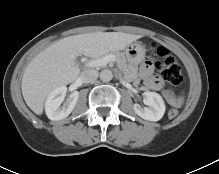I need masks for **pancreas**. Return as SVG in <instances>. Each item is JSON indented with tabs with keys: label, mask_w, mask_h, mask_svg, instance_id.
<instances>
[{
	"label": "pancreas",
	"mask_w": 219,
	"mask_h": 174,
	"mask_svg": "<svg viewBox=\"0 0 219 174\" xmlns=\"http://www.w3.org/2000/svg\"><path fill=\"white\" fill-rule=\"evenodd\" d=\"M108 55H113L115 57L119 69L124 74V79H126L129 82L133 81L134 84L139 83L140 80L138 78L137 69L127 63V59L123 54L119 52H111V53H106L105 55L99 56L96 59H101Z\"/></svg>",
	"instance_id": "1"
}]
</instances>
